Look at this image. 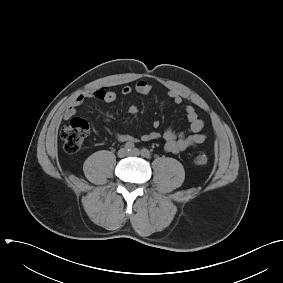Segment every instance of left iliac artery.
<instances>
[{"label": "left iliac artery", "mask_w": 283, "mask_h": 283, "mask_svg": "<svg viewBox=\"0 0 283 283\" xmlns=\"http://www.w3.org/2000/svg\"><path fill=\"white\" fill-rule=\"evenodd\" d=\"M141 154H142V156H144L146 158H151V156H152L151 152L146 148H143L141 150Z\"/></svg>", "instance_id": "1"}]
</instances>
